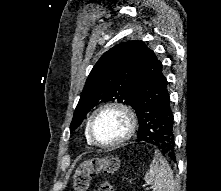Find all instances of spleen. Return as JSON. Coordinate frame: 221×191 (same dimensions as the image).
Returning a JSON list of instances; mask_svg holds the SVG:
<instances>
[{
    "label": "spleen",
    "instance_id": "3e777b00",
    "mask_svg": "<svg viewBox=\"0 0 221 191\" xmlns=\"http://www.w3.org/2000/svg\"><path fill=\"white\" fill-rule=\"evenodd\" d=\"M144 180L152 185L153 191H175L173 172L166 159L158 152H155Z\"/></svg>",
    "mask_w": 221,
    "mask_h": 191
}]
</instances>
